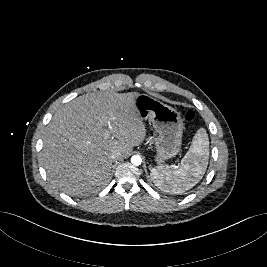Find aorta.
Instances as JSON below:
<instances>
[{"instance_id":"aorta-1","label":"aorta","mask_w":267,"mask_h":267,"mask_svg":"<svg viewBox=\"0 0 267 267\" xmlns=\"http://www.w3.org/2000/svg\"><path fill=\"white\" fill-rule=\"evenodd\" d=\"M142 162V159L139 155H134L131 157V163L133 165L139 166Z\"/></svg>"}]
</instances>
